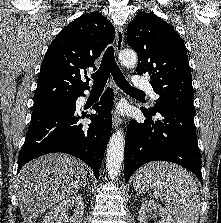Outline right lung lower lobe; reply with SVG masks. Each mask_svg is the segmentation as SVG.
I'll return each instance as SVG.
<instances>
[{
  "instance_id": "right-lung-lower-lobe-1",
  "label": "right lung lower lobe",
  "mask_w": 221,
  "mask_h": 223,
  "mask_svg": "<svg viewBox=\"0 0 221 223\" xmlns=\"http://www.w3.org/2000/svg\"><path fill=\"white\" fill-rule=\"evenodd\" d=\"M113 98V92L108 88L92 107L97 114L79 111L76 99L71 105L33 113L26 140L19 152L17 172L34 158L63 152L83 160L98 179L103 154L111 135ZM83 119L92 122L85 125L81 123Z\"/></svg>"
}]
</instances>
